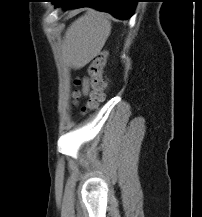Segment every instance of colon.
<instances>
[{
    "label": "colon",
    "instance_id": "colon-1",
    "mask_svg": "<svg viewBox=\"0 0 202 217\" xmlns=\"http://www.w3.org/2000/svg\"><path fill=\"white\" fill-rule=\"evenodd\" d=\"M107 54L105 51L96 53L88 68V74L91 81V92L87 104L82 107V114H86L88 111L96 110L104 100V89L106 82L103 77V70L106 64ZM75 85H78L80 81L76 79ZM79 92H74L73 97L77 99Z\"/></svg>",
    "mask_w": 202,
    "mask_h": 217
}]
</instances>
